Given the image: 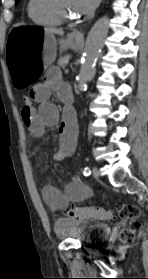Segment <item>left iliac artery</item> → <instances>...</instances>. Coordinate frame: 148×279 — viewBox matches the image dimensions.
<instances>
[{
    "mask_svg": "<svg viewBox=\"0 0 148 279\" xmlns=\"http://www.w3.org/2000/svg\"><path fill=\"white\" fill-rule=\"evenodd\" d=\"M83 174H84L85 176H89V175L91 174L90 168H89V167H85V168H84V171H83Z\"/></svg>",
    "mask_w": 148,
    "mask_h": 279,
    "instance_id": "obj_1",
    "label": "left iliac artery"
}]
</instances>
